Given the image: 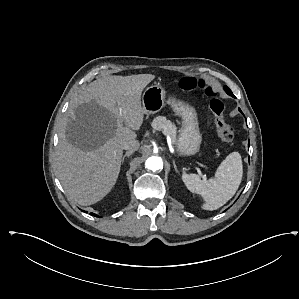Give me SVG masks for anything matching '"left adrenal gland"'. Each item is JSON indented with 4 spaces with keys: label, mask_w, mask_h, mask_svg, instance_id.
Listing matches in <instances>:
<instances>
[{
    "label": "left adrenal gland",
    "mask_w": 299,
    "mask_h": 299,
    "mask_svg": "<svg viewBox=\"0 0 299 299\" xmlns=\"http://www.w3.org/2000/svg\"><path fill=\"white\" fill-rule=\"evenodd\" d=\"M173 166H174L175 171L178 172L177 166L174 161H173Z\"/></svg>",
    "instance_id": "obj_1"
}]
</instances>
